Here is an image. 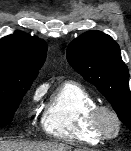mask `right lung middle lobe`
<instances>
[{"label": "right lung middle lobe", "mask_w": 131, "mask_h": 151, "mask_svg": "<svg viewBox=\"0 0 131 151\" xmlns=\"http://www.w3.org/2000/svg\"><path fill=\"white\" fill-rule=\"evenodd\" d=\"M30 84L0 83V126L10 124Z\"/></svg>", "instance_id": "right-lung-middle-lobe-1"}]
</instances>
